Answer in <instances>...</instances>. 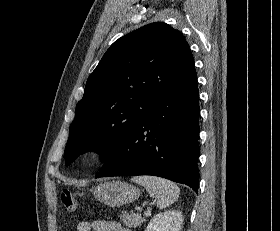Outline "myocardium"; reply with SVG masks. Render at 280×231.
<instances>
[{
  "instance_id": "obj_1",
  "label": "myocardium",
  "mask_w": 280,
  "mask_h": 231,
  "mask_svg": "<svg viewBox=\"0 0 280 231\" xmlns=\"http://www.w3.org/2000/svg\"><path fill=\"white\" fill-rule=\"evenodd\" d=\"M113 152V144L107 140H95L81 150L80 161L88 168H93L105 161Z\"/></svg>"
}]
</instances>
